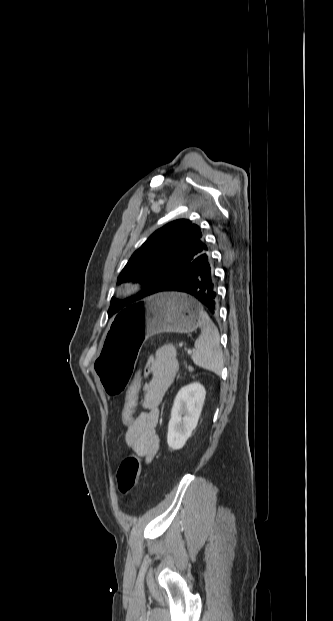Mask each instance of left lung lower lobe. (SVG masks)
Returning <instances> with one entry per match:
<instances>
[{"mask_svg":"<svg viewBox=\"0 0 333 621\" xmlns=\"http://www.w3.org/2000/svg\"><path fill=\"white\" fill-rule=\"evenodd\" d=\"M179 291L190 294L215 314L217 311L215 276L209 249H205L189 267L172 278L160 292Z\"/></svg>","mask_w":333,"mask_h":621,"instance_id":"left-lung-lower-lobe-1","label":"left lung lower lobe"}]
</instances>
